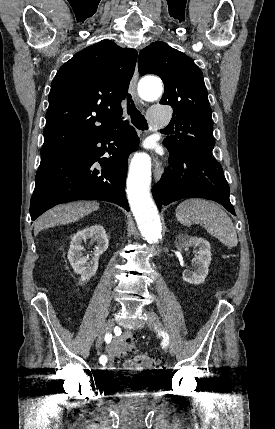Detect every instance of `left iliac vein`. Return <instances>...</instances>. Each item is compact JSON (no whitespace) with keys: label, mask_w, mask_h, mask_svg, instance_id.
Masks as SVG:
<instances>
[{"label":"left iliac vein","mask_w":275,"mask_h":429,"mask_svg":"<svg viewBox=\"0 0 275 429\" xmlns=\"http://www.w3.org/2000/svg\"><path fill=\"white\" fill-rule=\"evenodd\" d=\"M147 316H148V324L154 329H159L160 328V322H159V318H158L157 314L154 312L148 311ZM169 349H170L171 355H174L176 353V348L172 343L170 344Z\"/></svg>","instance_id":"left-iliac-vein-1"}]
</instances>
